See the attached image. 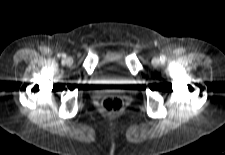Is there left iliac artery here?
<instances>
[{"instance_id": "left-iliac-artery-1", "label": "left iliac artery", "mask_w": 225, "mask_h": 155, "mask_svg": "<svg viewBox=\"0 0 225 155\" xmlns=\"http://www.w3.org/2000/svg\"><path fill=\"white\" fill-rule=\"evenodd\" d=\"M160 59L161 61H165V56H162Z\"/></svg>"}]
</instances>
